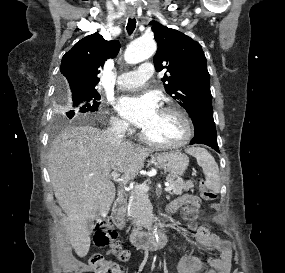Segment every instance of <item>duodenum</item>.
<instances>
[{
    "label": "duodenum",
    "mask_w": 285,
    "mask_h": 273,
    "mask_svg": "<svg viewBox=\"0 0 285 273\" xmlns=\"http://www.w3.org/2000/svg\"><path fill=\"white\" fill-rule=\"evenodd\" d=\"M125 209L126 201L124 197L120 196L116 200L113 211L114 220L117 223L121 222L122 217L125 213ZM167 240L168 235L166 230H162L156 235H151L150 233L143 231H134L130 235V242L132 243V245L143 250L162 248L166 245Z\"/></svg>",
    "instance_id": "obj_1"
}]
</instances>
